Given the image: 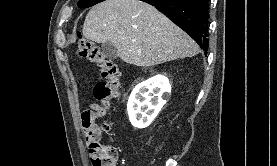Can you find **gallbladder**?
I'll return each instance as SVG.
<instances>
[{
	"mask_svg": "<svg viewBox=\"0 0 277 166\" xmlns=\"http://www.w3.org/2000/svg\"><path fill=\"white\" fill-rule=\"evenodd\" d=\"M103 54L105 55L106 58L109 60H114L118 56L117 48L115 45L111 42H105L102 43L101 45Z\"/></svg>",
	"mask_w": 277,
	"mask_h": 166,
	"instance_id": "bac80fb5",
	"label": "gallbladder"
}]
</instances>
